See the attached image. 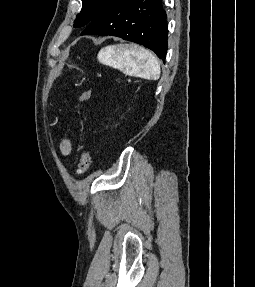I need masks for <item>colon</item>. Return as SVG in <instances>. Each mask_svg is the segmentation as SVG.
<instances>
[{"mask_svg":"<svg viewBox=\"0 0 255 287\" xmlns=\"http://www.w3.org/2000/svg\"><path fill=\"white\" fill-rule=\"evenodd\" d=\"M71 67L75 70H80L78 66L76 65H71ZM91 96V91L90 90H85L81 93L80 95V100L81 102L87 101ZM91 164V156L90 152L87 148H84L81 151L80 158H79V164L78 168L81 174H86L89 171Z\"/></svg>","mask_w":255,"mask_h":287,"instance_id":"colon-1","label":"colon"}]
</instances>
